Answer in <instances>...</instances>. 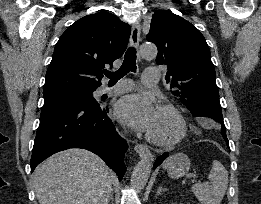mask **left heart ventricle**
<instances>
[{
  "label": "left heart ventricle",
  "instance_id": "obj_1",
  "mask_svg": "<svg viewBox=\"0 0 261 204\" xmlns=\"http://www.w3.org/2000/svg\"><path fill=\"white\" fill-rule=\"evenodd\" d=\"M177 128V122L173 115L157 108L153 125L148 132L154 137L167 139L176 134Z\"/></svg>",
  "mask_w": 261,
  "mask_h": 204
}]
</instances>
